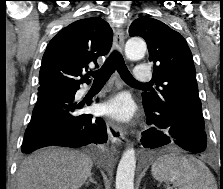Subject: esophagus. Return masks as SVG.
Here are the masks:
<instances>
[{
  "instance_id": "esophagus-1",
  "label": "esophagus",
  "mask_w": 223,
  "mask_h": 189,
  "mask_svg": "<svg viewBox=\"0 0 223 189\" xmlns=\"http://www.w3.org/2000/svg\"><path fill=\"white\" fill-rule=\"evenodd\" d=\"M124 32L121 27H117L114 30V39H113V47L116 51L122 53L124 48ZM118 84V82H117ZM107 131L110 141L115 144L119 145L122 140L124 139V134L122 129L116 124L113 120L107 119L106 120Z\"/></svg>"
}]
</instances>
